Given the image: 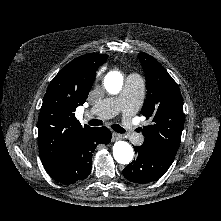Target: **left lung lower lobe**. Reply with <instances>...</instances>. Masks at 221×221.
I'll list each match as a JSON object with an SVG mask.
<instances>
[{"label": "left lung lower lobe", "mask_w": 221, "mask_h": 221, "mask_svg": "<svg viewBox=\"0 0 221 221\" xmlns=\"http://www.w3.org/2000/svg\"><path fill=\"white\" fill-rule=\"evenodd\" d=\"M137 159L124 170V177L132 182L145 184L160 178L171 166L177 150L150 149L147 146H135Z\"/></svg>", "instance_id": "0a47b994"}]
</instances>
